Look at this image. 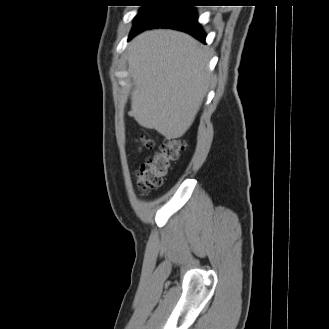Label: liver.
I'll return each instance as SVG.
<instances>
[{
    "label": "liver",
    "instance_id": "6515ba94",
    "mask_svg": "<svg viewBox=\"0 0 329 329\" xmlns=\"http://www.w3.org/2000/svg\"><path fill=\"white\" fill-rule=\"evenodd\" d=\"M209 52L191 36L170 29L145 31L128 47L135 88L129 113L166 139L192 125L209 82Z\"/></svg>",
    "mask_w": 329,
    "mask_h": 329
}]
</instances>
